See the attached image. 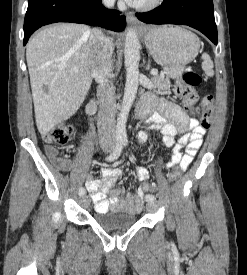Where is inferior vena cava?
I'll return each mask as SVG.
<instances>
[{
    "label": "inferior vena cava",
    "mask_w": 247,
    "mask_h": 275,
    "mask_svg": "<svg viewBox=\"0 0 247 275\" xmlns=\"http://www.w3.org/2000/svg\"><path fill=\"white\" fill-rule=\"evenodd\" d=\"M114 2L115 0H103V4L108 8H112ZM89 42L91 75L99 84L97 89L99 142L102 146L113 147L116 140V99L115 87L108 79L112 70L113 39L106 37L101 30L94 29Z\"/></svg>",
    "instance_id": "1"
}]
</instances>
